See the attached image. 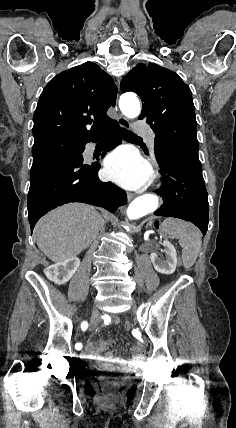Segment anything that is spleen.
Returning a JSON list of instances; mask_svg holds the SVG:
<instances>
[{"instance_id": "3e777b00", "label": "spleen", "mask_w": 236, "mask_h": 428, "mask_svg": "<svg viewBox=\"0 0 236 428\" xmlns=\"http://www.w3.org/2000/svg\"><path fill=\"white\" fill-rule=\"evenodd\" d=\"M162 232H166L168 236H173L179 240L182 250V260L184 268H191L197 260L200 252L202 240L201 234L190 222H183L178 218H166L161 224Z\"/></svg>"}]
</instances>
